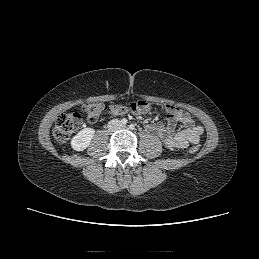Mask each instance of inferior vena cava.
Instances as JSON below:
<instances>
[{"label": "inferior vena cava", "instance_id": "inferior-vena-cava-1", "mask_svg": "<svg viewBox=\"0 0 259 259\" xmlns=\"http://www.w3.org/2000/svg\"><path fill=\"white\" fill-rule=\"evenodd\" d=\"M112 123H113V121L109 122V124H110L109 127H110V128L112 127V126H111ZM117 125H118L117 128H121V127H122V125H121V123H120L119 121H117Z\"/></svg>", "mask_w": 259, "mask_h": 259}]
</instances>
